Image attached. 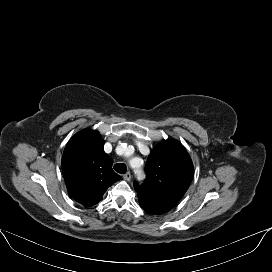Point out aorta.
I'll return each mask as SVG.
<instances>
[{"label": "aorta", "mask_w": 272, "mask_h": 272, "mask_svg": "<svg viewBox=\"0 0 272 272\" xmlns=\"http://www.w3.org/2000/svg\"><path fill=\"white\" fill-rule=\"evenodd\" d=\"M130 165H131V167L134 169L135 173H136L138 176H140L141 173H142V168H141V166L135 165V163H134L133 160L130 162Z\"/></svg>", "instance_id": "obj_1"}]
</instances>
